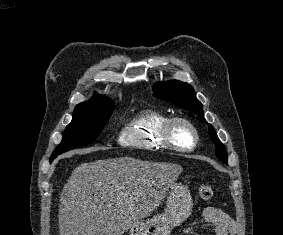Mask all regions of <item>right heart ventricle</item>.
<instances>
[{
    "label": "right heart ventricle",
    "mask_w": 283,
    "mask_h": 235,
    "mask_svg": "<svg viewBox=\"0 0 283 235\" xmlns=\"http://www.w3.org/2000/svg\"><path fill=\"white\" fill-rule=\"evenodd\" d=\"M169 118L167 113L155 108L140 111L123 128L121 144L149 151L168 149L162 137V129Z\"/></svg>",
    "instance_id": "1"
}]
</instances>
